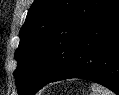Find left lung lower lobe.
<instances>
[{
  "label": "left lung lower lobe",
  "instance_id": "left-lung-lower-lobe-1",
  "mask_svg": "<svg viewBox=\"0 0 119 95\" xmlns=\"http://www.w3.org/2000/svg\"><path fill=\"white\" fill-rule=\"evenodd\" d=\"M69 78L96 82L119 95V0L86 31L71 62L50 82Z\"/></svg>",
  "mask_w": 119,
  "mask_h": 95
}]
</instances>
